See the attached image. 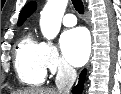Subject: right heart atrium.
<instances>
[{
  "instance_id": "1",
  "label": "right heart atrium",
  "mask_w": 121,
  "mask_h": 94,
  "mask_svg": "<svg viewBox=\"0 0 121 94\" xmlns=\"http://www.w3.org/2000/svg\"><path fill=\"white\" fill-rule=\"evenodd\" d=\"M43 63L52 74L68 76L71 68L60 58L56 47L48 42L41 43Z\"/></svg>"
}]
</instances>
